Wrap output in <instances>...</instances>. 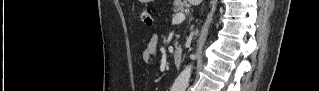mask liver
<instances>
[{"mask_svg":"<svg viewBox=\"0 0 319 91\" xmlns=\"http://www.w3.org/2000/svg\"><path fill=\"white\" fill-rule=\"evenodd\" d=\"M202 0H188V2L192 5H198L201 3ZM186 2V1H185Z\"/></svg>","mask_w":319,"mask_h":91,"instance_id":"6515ba94","label":"liver"}]
</instances>
